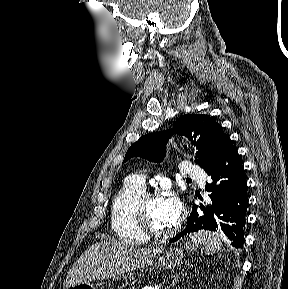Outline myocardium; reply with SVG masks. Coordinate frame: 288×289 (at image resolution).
Here are the masks:
<instances>
[{"label": "myocardium", "mask_w": 288, "mask_h": 289, "mask_svg": "<svg viewBox=\"0 0 288 289\" xmlns=\"http://www.w3.org/2000/svg\"><path fill=\"white\" fill-rule=\"evenodd\" d=\"M157 194L143 191L135 200L132 207V220L134 227L145 236L160 237L168 233L167 230L155 228L145 216V204L148 200L159 199Z\"/></svg>", "instance_id": "1"}]
</instances>
